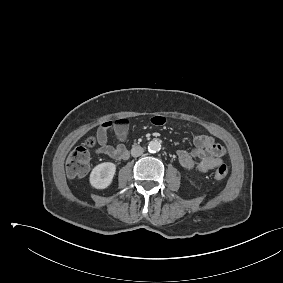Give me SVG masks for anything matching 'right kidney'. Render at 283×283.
I'll use <instances>...</instances> for the list:
<instances>
[{"instance_id":"1","label":"right kidney","mask_w":283,"mask_h":283,"mask_svg":"<svg viewBox=\"0 0 283 283\" xmlns=\"http://www.w3.org/2000/svg\"><path fill=\"white\" fill-rule=\"evenodd\" d=\"M116 172V165L111 162H104L95 166L90 174V184L96 189L107 188L113 180Z\"/></svg>"}]
</instances>
